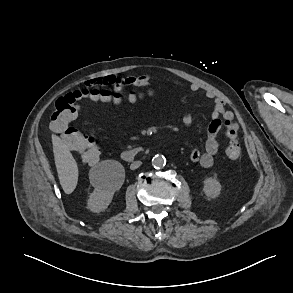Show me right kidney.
Instances as JSON below:
<instances>
[{
    "label": "right kidney",
    "mask_w": 293,
    "mask_h": 293,
    "mask_svg": "<svg viewBox=\"0 0 293 293\" xmlns=\"http://www.w3.org/2000/svg\"><path fill=\"white\" fill-rule=\"evenodd\" d=\"M107 177L102 183L96 184L88 199V208L94 213L104 211L112 201L114 192L119 190L124 182V167L118 161L106 160Z\"/></svg>",
    "instance_id": "right-kidney-1"
}]
</instances>
